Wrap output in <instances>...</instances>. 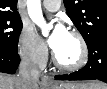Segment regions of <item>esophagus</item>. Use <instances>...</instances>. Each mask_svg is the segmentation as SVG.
Instances as JSON below:
<instances>
[{
  "label": "esophagus",
  "mask_w": 107,
  "mask_h": 89,
  "mask_svg": "<svg viewBox=\"0 0 107 89\" xmlns=\"http://www.w3.org/2000/svg\"><path fill=\"white\" fill-rule=\"evenodd\" d=\"M41 83L43 85H52V84H54L52 78L48 75H43L42 76Z\"/></svg>",
  "instance_id": "obj_1"
}]
</instances>
